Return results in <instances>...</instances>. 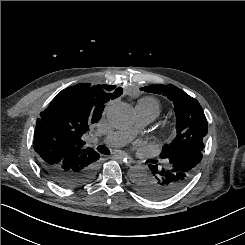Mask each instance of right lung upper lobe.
<instances>
[{
  "label": "right lung upper lobe",
  "instance_id": "right-lung-upper-lobe-1",
  "mask_svg": "<svg viewBox=\"0 0 245 245\" xmlns=\"http://www.w3.org/2000/svg\"><path fill=\"white\" fill-rule=\"evenodd\" d=\"M122 94L114 85L81 83L58 93L37 119L34 150L39 162L61 163L68 157L95 153L81 139L97 123L105 104Z\"/></svg>",
  "mask_w": 245,
  "mask_h": 245
}]
</instances>
